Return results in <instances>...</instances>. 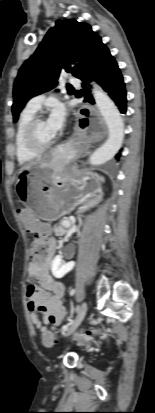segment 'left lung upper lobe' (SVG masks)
Here are the masks:
<instances>
[{"instance_id": "1", "label": "left lung upper lobe", "mask_w": 155, "mask_h": 413, "mask_svg": "<svg viewBox=\"0 0 155 413\" xmlns=\"http://www.w3.org/2000/svg\"><path fill=\"white\" fill-rule=\"evenodd\" d=\"M104 47L90 25L74 19L57 20L19 70L13 88V121L30 98L57 85L61 71L79 79L85 75Z\"/></svg>"}]
</instances>
